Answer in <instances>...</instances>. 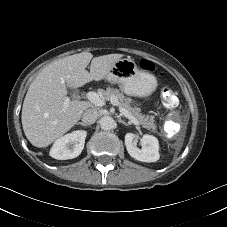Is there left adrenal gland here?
<instances>
[{"label":"left adrenal gland","mask_w":227,"mask_h":227,"mask_svg":"<svg viewBox=\"0 0 227 227\" xmlns=\"http://www.w3.org/2000/svg\"><path fill=\"white\" fill-rule=\"evenodd\" d=\"M119 122L122 123V124H124V125H126V126L129 125L128 123H126L125 121H123V120H121V119H119Z\"/></svg>","instance_id":"left-adrenal-gland-1"}]
</instances>
